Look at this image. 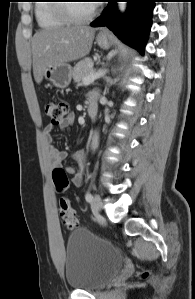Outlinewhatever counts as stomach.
<instances>
[{
  "label": "stomach",
  "instance_id": "obj_1",
  "mask_svg": "<svg viewBox=\"0 0 195 299\" xmlns=\"http://www.w3.org/2000/svg\"><path fill=\"white\" fill-rule=\"evenodd\" d=\"M98 45L103 49L110 47L111 41L106 35L99 34L96 39ZM44 78L54 86L64 89L68 87L72 79V67L69 64L50 66L43 74Z\"/></svg>",
  "mask_w": 195,
  "mask_h": 299
}]
</instances>
